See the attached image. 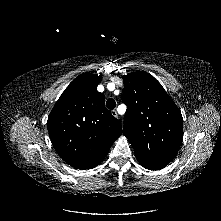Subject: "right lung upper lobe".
<instances>
[{
    "mask_svg": "<svg viewBox=\"0 0 221 221\" xmlns=\"http://www.w3.org/2000/svg\"><path fill=\"white\" fill-rule=\"evenodd\" d=\"M101 76L81 74L63 92L47 121L52 144L61 158L77 169L99 165L122 126L105 108L97 91Z\"/></svg>",
    "mask_w": 221,
    "mask_h": 221,
    "instance_id": "right-lung-upper-lobe-1",
    "label": "right lung upper lobe"
}]
</instances>
